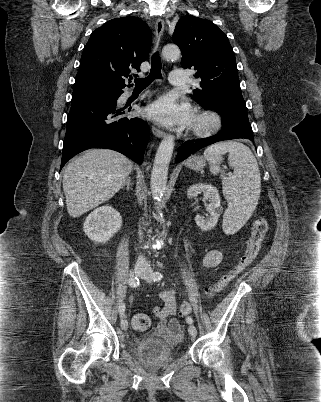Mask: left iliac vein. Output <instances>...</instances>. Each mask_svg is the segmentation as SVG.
Segmentation results:
<instances>
[{
  "mask_svg": "<svg viewBox=\"0 0 321 402\" xmlns=\"http://www.w3.org/2000/svg\"><path fill=\"white\" fill-rule=\"evenodd\" d=\"M141 277L148 282L152 281V270L150 268L146 269ZM188 332L192 337H196L197 335V329L194 325H189Z\"/></svg>",
  "mask_w": 321,
  "mask_h": 402,
  "instance_id": "1",
  "label": "left iliac vein"
}]
</instances>
